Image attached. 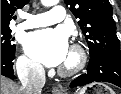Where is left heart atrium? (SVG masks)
I'll return each mask as SVG.
<instances>
[{"instance_id": "obj_1", "label": "left heart atrium", "mask_w": 121, "mask_h": 94, "mask_svg": "<svg viewBox=\"0 0 121 94\" xmlns=\"http://www.w3.org/2000/svg\"><path fill=\"white\" fill-rule=\"evenodd\" d=\"M26 49L32 58L49 67L62 65L69 53L67 36L59 29L31 33L26 39Z\"/></svg>"}]
</instances>
